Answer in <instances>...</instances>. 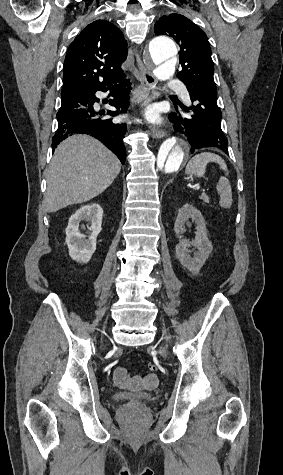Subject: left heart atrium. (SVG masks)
Returning a JSON list of instances; mask_svg holds the SVG:
<instances>
[{
	"label": "left heart atrium",
	"instance_id": "1",
	"mask_svg": "<svg viewBox=\"0 0 283 475\" xmlns=\"http://www.w3.org/2000/svg\"><path fill=\"white\" fill-rule=\"evenodd\" d=\"M144 117H145L146 121L151 123V124L158 123V121H159L158 112L154 107L148 108L144 113Z\"/></svg>",
	"mask_w": 283,
	"mask_h": 475
}]
</instances>
